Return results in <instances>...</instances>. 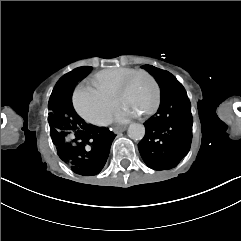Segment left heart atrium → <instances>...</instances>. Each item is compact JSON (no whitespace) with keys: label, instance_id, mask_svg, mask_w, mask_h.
I'll return each mask as SVG.
<instances>
[{"label":"left heart atrium","instance_id":"obj_1","mask_svg":"<svg viewBox=\"0 0 241 241\" xmlns=\"http://www.w3.org/2000/svg\"><path fill=\"white\" fill-rule=\"evenodd\" d=\"M130 113L128 112H123L119 115L116 116V121L122 122V121H126L129 117H130Z\"/></svg>","mask_w":241,"mask_h":241}]
</instances>
